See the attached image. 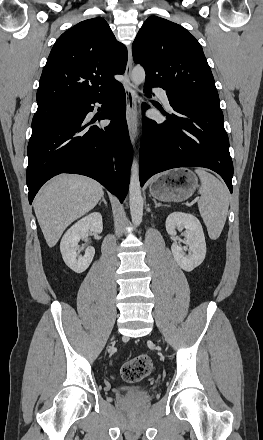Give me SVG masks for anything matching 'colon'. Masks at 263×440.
<instances>
[{
	"mask_svg": "<svg viewBox=\"0 0 263 440\" xmlns=\"http://www.w3.org/2000/svg\"><path fill=\"white\" fill-rule=\"evenodd\" d=\"M153 363L148 355H139L125 362L120 369V377L128 383L139 382L152 370Z\"/></svg>",
	"mask_w": 263,
	"mask_h": 440,
	"instance_id": "obj_1",
	"label": "colon"
}]
</instances>
